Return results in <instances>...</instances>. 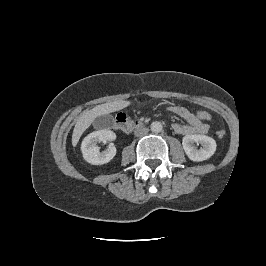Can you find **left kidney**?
<instances>
[{
	"label": "left kidney",
	"mask_w": 266,
	"mask_h": 266,
	"mask_svg": "<svg viewBox=\"0 0 266 266\" xmlns=\"http://www.w3.org/2000/svg\"><path fill=\"white\" fill-rule=\"evenodd\" d=\"M194 143L201 144L197 149ZM183 149L192 161L200 162L209 159L216 151V142L213 138L206 135H186L182 140Z\"/></svg>",
	"instance_id": "5707ae66"
}]
</instances>
